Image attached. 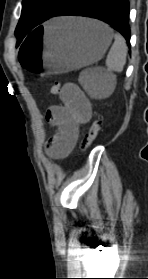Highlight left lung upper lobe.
Returning a JSON list of instances; mask_svg holds the SVG:
<instances>
[{
    "mask_svg": "<svg viewBox=\"0 0 148 279\" xmlns=\"http://www.w3.org/2000/svg\"><path fill=\"white\" fill-rule=\"evenodd\" d=\"M68 0H23L22 13L15 30V36L21 42L42 22L48 20Z\"/></svg>",
    "mask_w": 148,
    "mask_h": 279,
    "instance_id": "1",
    "label": "left lung upper lobe"
}]
</instances>
